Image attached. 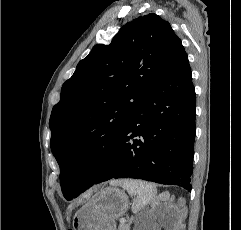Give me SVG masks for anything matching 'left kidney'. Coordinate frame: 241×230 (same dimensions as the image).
Returning <instances> with one entry per match:
<instances>
[{
	"label": "left kidney",
	"instance_id": "5707ae66",
	"mask_svg": "<svg viewBox=\"0 0 241 230\" xmlns=\"http://www.w3.org/2000/svg\"><path fill=\"white\" fill-rule=\"evenodd\" d=\"M137 230H155V227L152 223H147L137 228Z\"/></svg>",
	"mask_w": 241,
	"mask_h": 230
}]
</instances>
